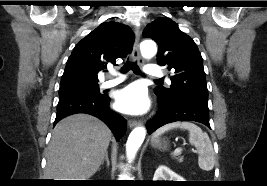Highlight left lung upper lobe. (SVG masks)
Returning a JSON list of instances; mask_svg holds the SVG:
<instances>
[{"label": "left lung upper lobe", "mask_w": 267, "mask_h": 186, "mask_svg": "<svg viewBox=\"0 0 267 186\" xmlns=\"http://www.w3.org/2000/svg\"><path fill=\"white\" fill-rule=\"evenodd\" d=\"M158 45L157 60L172 71L171 86L154 89L158 99H193L207 102L208 89L202 56L193 39L170 18H158L143 31Z\"/></svg>", "instance_id": "left-lung-upper-lobe-1"}]
</instances>
